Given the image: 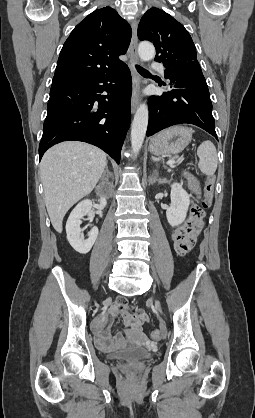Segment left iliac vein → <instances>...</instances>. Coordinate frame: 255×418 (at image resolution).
Instances as JSON below:
<instances>
[{
  "mask_svg": "<svg viewBox=\"0 0 255 418\" xmlns=\"http://www.w3.org/2000/svg\"><path fill=\"white\" fill-rule=\"evenodd\" d=\"M155 307L160 313L162 312V308L158 300H155Z\"/></svg>",
  "mask_w": 255,
  "mask_h": 418,
  "instance_id": "4c4485c4",
  "label": "left iliac vein"
}]
</instances>
